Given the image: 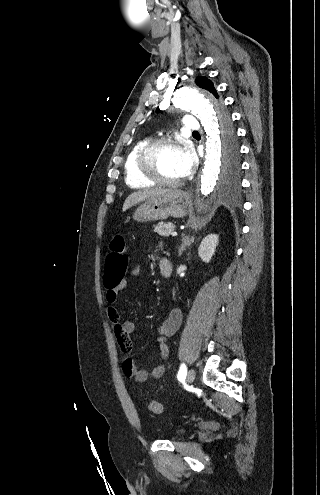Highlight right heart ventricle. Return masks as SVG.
Instances as JSON below:
<instances>
[{"label": "right heart ventricle", "mask_w": 320, "mask_h": 495, "mask_svg": "<svg viewBox=\"0 0 320 495\" xmlns=\"http://www.w3.org/2000/svg\"><path fill=\"white\" fill-rule=\"evenodd\" d=\"M150 139L138 141L128 152L124 162V176L126 184L131 188L144 189L155 185L154 182L143 177L137 169V157L140 150L148 143Z\"/></svg>", "instance_id": "1"}]
</instances>
